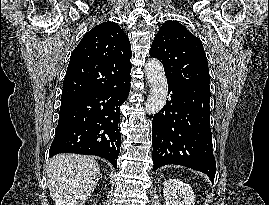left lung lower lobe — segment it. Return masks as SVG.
<instances>
[{
  "label": "left lung lower lobe",
  "mask_w": 269,
  "mask_h": 205,
  "mask_svg": "<svg viewBox=\"0 0 269 205\" xmlns=\"http://www.w3.org/2000/svg\"><path fill=\"white\" fill-rule=\"evenodd\" d=\"M171 100L152 120L153 171L168 164L201 171L214 181L210 88L168 82Z\"/></svg>",
  "instance_id": "left-lung-lower-lobe-1"
}]
</instances>
